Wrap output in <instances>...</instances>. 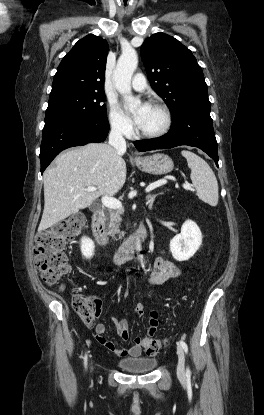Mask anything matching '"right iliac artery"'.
<instances>
[{
  "label": "right iliac artery",
  "mask_w": 264,
  "mask_h": 415,
  "mask_svg": "<svg viewBox=\"0 0 264 415\" xmlns=\"http://www.w3.org/2000/svg\"><path fill=\"white\" fill-rule=\"evenodd\" d=\"M84 364H85V367L87 366V354H85V356H84Z\"/></svg>",
  "instance_id": "82829eb1"
}]
</instances>
